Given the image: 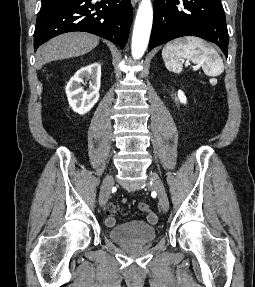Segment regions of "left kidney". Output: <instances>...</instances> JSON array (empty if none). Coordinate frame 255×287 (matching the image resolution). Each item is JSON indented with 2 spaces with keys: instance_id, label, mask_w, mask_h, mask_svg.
<instances>
[{
  "instance_id": "1",
  "label": "left kidney",
  "mask_w": 255,
  "mask_h": 287,
  "mask_svg": "<svg viewBox=\"0 0 255 287\" xmlns=\"http://www.w3.org/2000/svg\"><path fill=\"white\" fill-rule=\"evenodd\" d=\"M176 100H179V102H181V104H186L187 98H186L184 92H182V90H178Z\"/></svg>"
}]
</instances>
